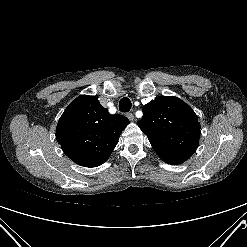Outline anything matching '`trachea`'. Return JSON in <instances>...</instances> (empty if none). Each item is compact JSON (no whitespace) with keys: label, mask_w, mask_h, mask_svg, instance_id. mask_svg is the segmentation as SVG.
Here are the masks:
<instances>
[{"label":"trachea","mask_w":247,"mask_h":247,"mask_svg":"<svg viewBox=\"0 0 247 247\" xmlns=\"http://www.w3.org/2000/svg\"><path fill=\"white\" fill-rule=\"evenodd\" d=\"M132 103L129 98L124 97L119 102V110L121 112H129L131 109Z\"/></svg>","instance_id":"trachea-1"}]
</instances>
